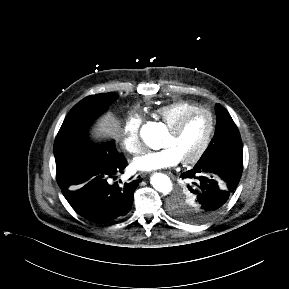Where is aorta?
Wrapping results in <instances>:
<instances>
[{
  "label": "aorta",
  "mask_w": 289,
  "mask_h": 289,
  "mask_svg": "<svg viewBox=\"0 0 289 289\" xmlns=\"http://www.w3.org/2000/svg\"><path fill=\"white\" fill-rule=\"evenodd\" d=\"M165 132L164 126L161 123H148L141 129V137L144 143L152 149H160L162 144V137ZM152 186L163 194H169L173 185L170 178L161 173H156L151 177Z\"/></svg>",
  "instance_id": "obj_1"
}]
</instances>
